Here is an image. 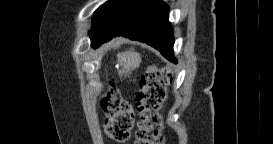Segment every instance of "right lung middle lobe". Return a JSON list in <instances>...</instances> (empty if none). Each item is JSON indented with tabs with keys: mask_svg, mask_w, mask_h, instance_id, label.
Returning <instances> with one entry per match:
<instances>
[{
	"mask_svg": "<svg viewBox=\"0 0 273 144\" xmlns=\"http://www.w3.org/2000/svg\"><path fill=\"white\" fill-rule=\"evenodd\" d=\"M118 1L119 0H108L95 11L92 30L102 21L107 11Z\"/></svg>",
	"mask_w": 273,
	"mask_h": 144,
	"instance_id": "right-lung-middle-lobe-1",
	"label": "right lung middle lobe"
}]
</instances>
